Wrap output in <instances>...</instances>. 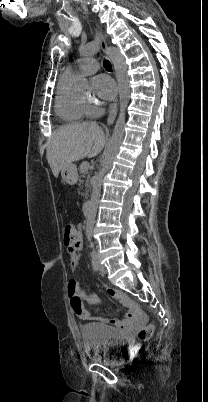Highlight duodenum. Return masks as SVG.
<instances>
[{"instance_id": "410a0bca", "label": "duodenum", "mask_w": 208, "mask_h": 402, "mask_svg": "<svg viewBox=\"0 0 208 402\" xmlns=\"http://www.w3.org/2000/svg\"><path fill=\"white\" fill-rule=\"evenodd\" d=\"M90 208H91V203L89 200L85 201L83 204V211L84 213L87 215L90 212Z\"/></svg>"}]
</instances>
